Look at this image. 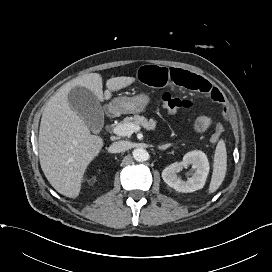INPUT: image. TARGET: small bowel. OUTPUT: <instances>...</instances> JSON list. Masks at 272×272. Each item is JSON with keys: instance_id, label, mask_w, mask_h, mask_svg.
<instances>
[{"instance_id": "c3829d8e", "label": "small bowel", "mask_w": 272, "mask_h": 272, "mask_svg": "<svg viewBox=\"0 0 272 272\" xmlns=\"http://www.w3.org/2000/svg\"><path fill=\"white\" fill-rule=\"evenodd\" d=\"M140 82L151 87L177 86L208 94L214 101L222 102L221 92L210 82L192 72L160 66H142L137 73ZM212 124L210 117L202 115L196 118L193 128L197 132L206 131Z\"/></svg>"}]
</instances>
